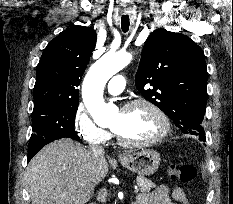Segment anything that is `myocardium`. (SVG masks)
Wrapping results in <instances>:
<instances>
[{"instance_id": "f54148a6", "label": "myocardium", "mask_w": 233, "mask_h": 204, "mask_svg": "<svg viewBox=\"0 0 233 204\" xmlns=\"http://www.w3.org/2000/svg\"><path fill=\"white\" fill-rule=\"evenodd\" d=\"M137 106H145L149 108L158 117L162 126L160 132L151 139L145 141H130L125 139L124 137L119 135L115 130L112 129L115 138L121 145L126 147H133V148L149 147L159 143L169 134L170 131V120L167 114L157 104L144 98L133 99L125 103L122 106L121 110L125 111Z\"/></svg>"}]
</instances>
